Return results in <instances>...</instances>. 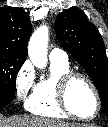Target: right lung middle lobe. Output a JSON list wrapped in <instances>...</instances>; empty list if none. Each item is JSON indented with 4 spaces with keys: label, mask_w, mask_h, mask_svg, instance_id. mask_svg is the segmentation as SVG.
<instances>
[{
    "label": "right lung middle lobe",
    "mask_w": 108,
    "mask_h": 127,
    "mask_svg": "<svg viewBox=\"0 0 108 127\" xmlns=\"http://www.w3.org/2000/svg\"><path fill=\"white\" fill-rule=\"evenodd\" d=\"M24 59L0 54V95L14 97L16 77Z\"/></svg>",
    "instance_id": "dd1d6c3e"
}]
</instances>
